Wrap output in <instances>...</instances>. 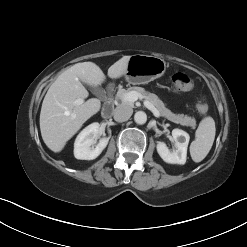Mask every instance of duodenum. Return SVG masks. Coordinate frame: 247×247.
I'll list each match as a JSON object with an SVG mask.
<instances>
[{
    "instance_id": "obj_1",
    "label": "duodenum",
    "mask_w": 247,
    "mask_h": 247,
    "mask_svg": "<svg viewBox=\"0 0 247 247\" xmlns=\"http://www.w3.org/2000/svg\"><path fill=\"white\" fill-rule=\"evenodd\" d=\"M113 93H114V85L113 84H109L106 88V100L104 102L103 105V116L105 118H109L113 111H114V99H113Z\"/></svg>"
}]
</instances>
